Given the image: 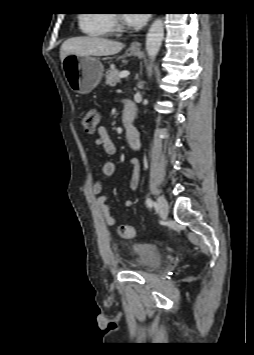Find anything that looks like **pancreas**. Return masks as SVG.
Segmentation results:
<instances>
[{
    "label": "pancreas",
    "mask_w": 254,
    "mask_h": 355,
    "mask_svg": "<svg viewBox=\"0 0 254 355\" xmlns=\"http://www.w3.org/2000/svg\"><path fill=\"white\" fill-rule=\"evenodd\" d=\"M119 71L117 69H109L106 72V80L105 83L109 86H115L116 83L120 81L119 79Z\"/></svg>",
    "instance_id": "obj_1"
}]
</instances>
